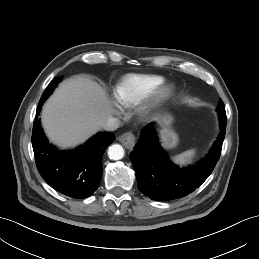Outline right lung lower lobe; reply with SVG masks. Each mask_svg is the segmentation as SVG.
I'll return each instance as SVG.
<instances>
[{
  "instance_id": "1",
  "label": "right lung lower lobe",
  "mask_w": 259,
  "mask_h": 259,
  "mask_svg": "<svg viewBox=\"0 0 259 259\" xmlns=\"http://www.w3.org/2000/svg\"><path fill=\"white\" fill-rule=\"evenodd\" d=\"M34 120L32 146L37 169L42 178L59 193L76 198H87L98 188L105 149L115 140L112 133H99L83 146L67 152L50 145L38 119Z\"/></svg>"
}]
</instances>
